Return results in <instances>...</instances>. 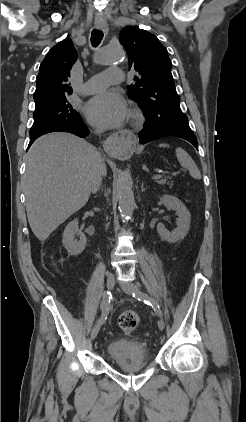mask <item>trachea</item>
<instances>
[{
	"mask_svg": "<svg viewBox=\"0 0 246 422\" xmlns=\"http://www.w3.org/2000/svg\"><path fill=\"white\" fill-rule=\"evenodd\" d=\"M102 39H103V32L94 29L92 31V34H91V44H92V46L97 47L101 43Z\"/></svg>",
	"mask_w": 246,
	"mask_h": 422,
	"instance_id": "1",
	"label": "trachea"
}]
</instances>
